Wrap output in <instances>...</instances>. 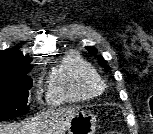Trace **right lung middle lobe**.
<instances>
[{"label": "right lung middle lobe", "instance_id": "right-lung-middle-lobe-1", "mask_svg": "<svg viewBox=\"0 0 153 134\" xmlns=\"http://www.w3.org/2000/svg\"><path fill=\"white\" fill-rule=\"evenodd\" d=\"M32 84L27 75L0 76V121L28 113L27 101Z\"/></svg>", "mask_w": 153, "mask_h": 134}]
</instances>
